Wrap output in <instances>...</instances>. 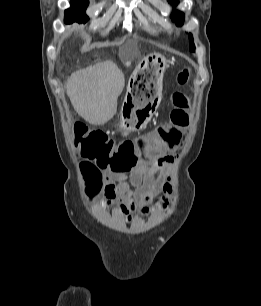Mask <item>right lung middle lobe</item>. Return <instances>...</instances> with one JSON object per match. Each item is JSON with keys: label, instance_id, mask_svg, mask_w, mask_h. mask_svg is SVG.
<instances>
[{"label": "right lung middle lobe", "instance_id": "obj_1", "mask_svg": "<svg viewBox=\"0 0 261 306\" xmlns=\"http://www.w3.org/2000/svg\"><path fill=\"white\" fill-rule=\"evenodd\" d=\"M89 5L88 0H77L71 3V8L65 11L66 23H85L88 21V17L85 14V10Z\"/></svg>", "mask_w": 261, "mask_h": 306}]
</instances>
